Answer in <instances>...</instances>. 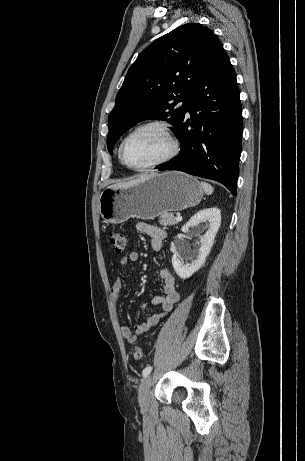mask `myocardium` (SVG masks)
Segmentation results:
<instances>
[{
  "label": "myocardium",
  "instance_id": "f54148a6",
  "mask_svg": "<svg viewBox=\"0 0 305 461\" xmlns=\"http://www.w3.org/2000/svg\"><path fill=\"white\" fill-rule=\"evenodd\" d=\"M149 128H155V129H158V130L162 131L165 134V136L167 137V139L169 140L170 149L162 158H160V159H158V160H156V161H154V162H152L150 164L143 165V166H134V165L130 164L125 158V154H124L125 145H126L127 141L132 136H134L136 133H138L141 130L149 129ZM178 152H179V142H178L176 136L174 135V132H173L171 126L168 123L164 122V121H158V120L148 121V122H145V123H142V124L136 126L133 130H131L125 136V138L122 140V142H121V144L119 146V157H120V160L122 161V163L125 166H127L128 168L133 169V170H137V171L150 170V169L159 167L161 165H164L167 162H169L170 160H172L178 154Z\"/></svg>",
  "mask_w": 305,
  "mask_h": 461
}]
</instances>
